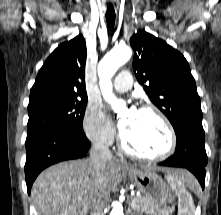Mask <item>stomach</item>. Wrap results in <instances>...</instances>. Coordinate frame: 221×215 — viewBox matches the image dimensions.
<instances>
[{
  "label": "stomach",
  "mask_w": 221,
  "mask_h": 215,
  "mask_svg": "<svg viewBox=\"0 0 221 215\" xmlns=\"http://www.w3.org/2000/svg\"><path fill=\"white\" fill-rule=\"evenodd\" d=\"M142 193L143 197L159 208L171 204L175 195L168 184L150 170H132L124 172Z\"/></svg>",
  "instance_id": "obj_1"
}]
</instances>
